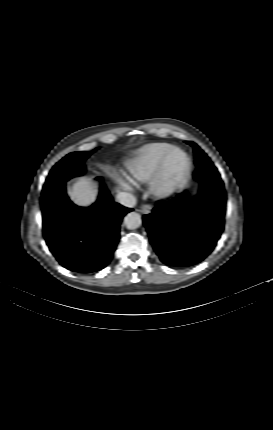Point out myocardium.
I'll list each match as a JSON object with an SVG mask.
<instances>
[{"label":"myocardium","instance_id":"obj_1","mask_svg":"<svg viewBox=\"0 0 273 430\" xmlns=\"http://www.w3.org/2000/svg\"><path fill=\"white\" fill-rule=\"evenodd\" d=\"M174 154H180L185 160L183 171L176 177L168 176V163ZM192 167L190 157L182 149L172 147L162 157L157 169L150 179V188L152 193L158 198H166L178 191L188 178Z\"/></svg>","mask_w":273,"mask_h":430}]
</instances>
